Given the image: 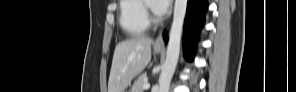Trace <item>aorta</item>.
<instances>
[{"mask_svg":"<svg viewBox=\"0 0 296 92\" xmlns=\"http://www.w3.org/2000/svg\"><path fill=\"white\" fill-rule=\"evenodd\" d=\"M187 0H175L166 60L159 77V92H168L180 52L183 23L187 10Z\"/></svg>","mask_w":296,"mask_h":92,"instance_id":"1","label":"aorta"}]
</instances>
